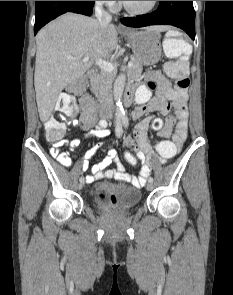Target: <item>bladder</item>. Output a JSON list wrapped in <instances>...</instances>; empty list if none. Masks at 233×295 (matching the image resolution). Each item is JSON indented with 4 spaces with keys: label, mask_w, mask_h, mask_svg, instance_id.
<instances>
[{
    "label": "bladder",
    "mask_w": 233,
    "mask_h": 295,
    "mask_svg": "<svg viewBox=\"0 0 233 295\" xmlns=\"http://www.w3.org/2000/svg\"><path fill=\"white\" fill-rule=\"evenodd\" d=\"M120 203L115 207L116 211H126L135 207L141 200V192L133 187L124 186L117 189Z\"/></svg>",
    "instance_id": "31cf9c89"
}]
</instances>
